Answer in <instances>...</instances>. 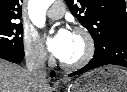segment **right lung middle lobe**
I'll return each instance as SVG.
<instances>
[{
    "instance_id": "obj_1",
    "label": "right lung middle lobe",
    "mask_w": 127,
    "mask_h": 92,
    "mask_svg": "<svg viewBox=\"0 0 127 92\" xmlns=\"http://www.w3.org/2000/svg\"><path fill=\"white\" fill-rule=\"evenodd\" d=\"M23 27L21 24L0 25V47L23 51Z\"/></svg>"
}]
</instances>
